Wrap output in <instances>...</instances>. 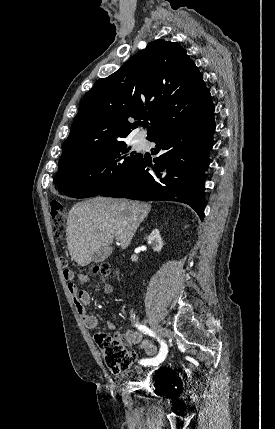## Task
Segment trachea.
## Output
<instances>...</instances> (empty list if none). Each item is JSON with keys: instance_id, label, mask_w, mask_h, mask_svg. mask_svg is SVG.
Masks as SVG:
<instances>
[{"instance_id": "1", "label": "trachea", "mask_w": 275, "mask_h": 429, "mask_svg": "<svg viewBox=\"0 0 275 429\" xmlns=\"http://www.w3.org/2000/svg\"><path fill=\"white\" fill-rule=\"evenodd\" d=\"M144 128H147L148 126H149V123L148 122H145V123H143V125H142Z\"/></svg>"}]
</instances>
